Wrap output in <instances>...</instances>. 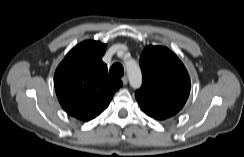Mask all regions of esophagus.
Returning <instances> with one entry per match:
<instances>
[{
  "mask_svg": "<svg viewBox=\"0 0 244 157\" xmlns=\"http://www.w3.org/2000/svg\"><path fill=\"white\" fill-rule=\"evenodd\" d=\"M121 80L123 82V85H127V83H128V77L127 76H123Z\"/></svg>",
  "mask_w": 244,
  "mask_h": 157,
  "instance_id": "1",
  "label": "esophagus"
}]
</instances>
